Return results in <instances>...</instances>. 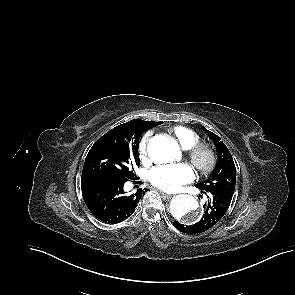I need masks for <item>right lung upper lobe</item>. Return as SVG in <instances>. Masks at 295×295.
Instances as JSON below:
<instances>
[{
	"label": "right lung upper lobe",
	"instance_id": "right-lung-upper-lobe-1",
	"mask_svg": "<svg viewBox=\"0 0 295 295\" xmlns=\"http://www.w3.org/2000/svg\"><path fill=\"white\" fill-rule=\"evenodd\" d=\"M142 121L143 120H141V119L131 120V121L127 122V123L121 124V125L113 128L112 130H121V129L127 128L129 126H132V125H134V124H136L138 122H142ZM148 122H151V121H148Z\"/></svg>",
	"mask_w": 295,
	"mask_h": 295
}]
</instances>
